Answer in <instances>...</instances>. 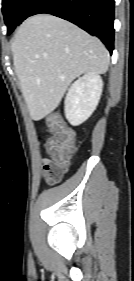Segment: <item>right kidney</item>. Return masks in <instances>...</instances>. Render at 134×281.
Returning a JSON list of instances; mask_svg holds the SVG:
<instances>
[{"instance_id": "1", "label": "right kidney", "mask_w": 134, "mask_h": 281, "mask_svg": "<svg viewBox=\"0 0 134 281\" xmlns=\"http://www.w3.org/2000/svg\"><path fill=\"white\" fill-rule=\"evenodd\" d=\"M102 89V78L95 72L86 73L70 86L65 98V116L71 125H80L92 115Z\"/></svg>"}]
</instances>
